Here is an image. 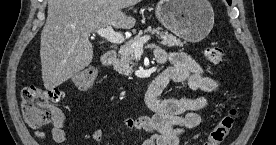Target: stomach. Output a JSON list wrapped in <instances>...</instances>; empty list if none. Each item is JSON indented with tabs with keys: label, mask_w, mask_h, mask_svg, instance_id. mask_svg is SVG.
I'll use <instances>...</instances> for the list:
<instances>
[{
	"label": "stomach",
	"mask_w": 276,
	"mask_h": 145,
	"mask_svg": "<svg viewBox=\"0 0 276 145\" xmlns=\"http://www.w3.org/2000/svg\"><path fill=\"white\" fill-rule=\"evenodd\" d=\"M155 13L165 28L192 43L202 41L214 25L208 0H160Z\"/></svg>",
	"instance_id": "1"
}]
</instances>
